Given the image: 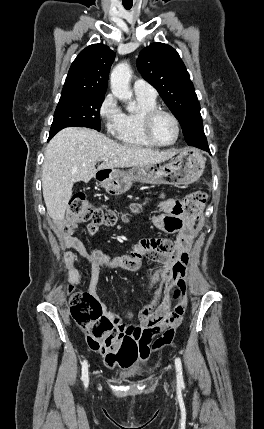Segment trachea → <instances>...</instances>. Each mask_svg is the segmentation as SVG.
<instances>
[{
  "label": "trachea",
  "instance_id": "obj_1",
  "mask_svg": "<svg viewBox=\"0 0 264 429\" xmlns=\"http://www.w3.org/2000/svg\"><path fill=\"white\" fill-rule=\"evenodd\" d=\"M123 6H124L125 9L129 10V9H131L132 4H125V3H123Z\"/></svg>",
  "mask_w": 264,
  "mask_h": 429
}]
</instances>
